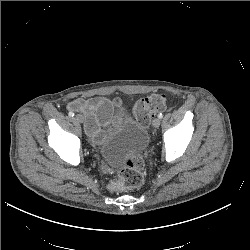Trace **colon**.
I'll return each instance as SVG.
<instances>
[{"instance_id":"5ec220e1","label":"colon","mask_w":250,"mask_h":250,"mask_svg":"<svg viewBox=\"0 0 250 250\" xmlns=\"http://www.w3.org/2000/svg\"><path fill=\"white\" fill-rule=\"evenodd\" d=\"M169 97L163 93H155L138 100L132 110L138 120L143 125H149L151 118L159 111L166 109ZM143 159L137 154L129 157L123 167L110 180L109 188L115 192H121L139 187L143 183Z\"/></svg>"}]
</instances>
